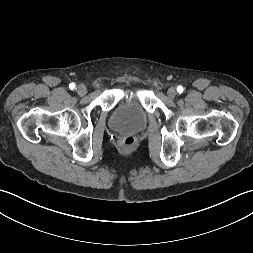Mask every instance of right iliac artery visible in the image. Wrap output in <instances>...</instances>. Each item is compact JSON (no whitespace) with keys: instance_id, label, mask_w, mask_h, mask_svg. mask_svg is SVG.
Here are the masks:
<instances>
[{"instance_id":"82829eb1","label":"right iliac artery","mask_w":253,"mask_h":253,"mask_svg":"<svg viewBox=\"0 0 253 253\" xmlns=\"http://www.w3.org/2000/svg\"><path fill=\"white\" fill-rule=\"evenodd\" d=\"M69 88H70L71 90L75 89V84H74V83L69 84Z\"/></svg>"}]
</instances>
